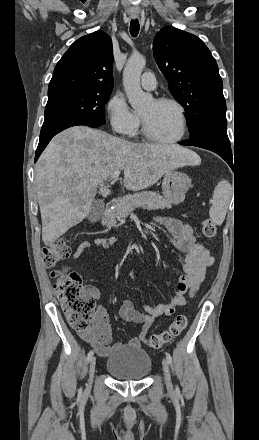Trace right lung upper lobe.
<instances>
[{"label": "right lung upper lobe", "mask_w": 259, "mask_h": 440, "mask_svg": "<svg viewBox=\"0 0 259 440\" xmlns=\"http://www.w3.org/2000/svg\"><path fill=\"white\" fill-rule=\"evenodd\" d=\"M111 38L96 31L76 40L57 63L48 94L65 90L112 91Z\"/></svg>", "instance_id": "1"}]
</instances>
